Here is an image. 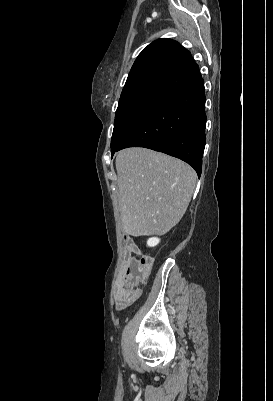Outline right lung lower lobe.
Here are the masks:
<instances>
[{
  "label": "right lung lower lobe",
  "mask_w": 273,
  "mask_h": 401,
  "mask_svg": "<svg viewBox=\"0 0 273 401\" xmlns=\"http://www.w3.org/2000/svg\"><path fill=\"white\" fill-rule=\"evenodd\" d=\"M205 88L201 76L167 95L131 135L111 152L145 147L190 164L200 177L205 135Z\"/></svg>",
  "instance_id": "obj_1"
}]
</instances>
